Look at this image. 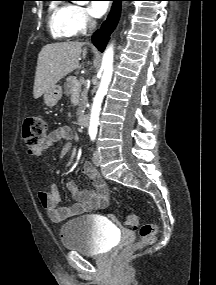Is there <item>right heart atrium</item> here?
I'll list each match as a JSON object with an SVG mask.
<instances>
[{
	"label": "right heart atrium",
	"mask_w": 216,
	"mask_h": 285,
	"mask_svg": "<svg viewBox=\"0 0 216 285\" xmlns=\"http://www.w3.org/2000/svg\"><path fill=\"white\" fill-rule=\"evenodd\" d=\"M70 20L75 33L86 31L94 23L88 9L81 5L70 6Z\"/></svg>",
	"instance_id": "right-heart-atrium-1"
}]
</instances>
